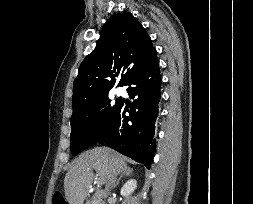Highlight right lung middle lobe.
<instances>
[{"instance_id": "obj_1", "label": "right lung middle lobe", "mask_w": 253, "mask_h": 204, "mask_svg": "<svg viewBox=\"0 0 253 204\" xmlns=\"http://www.w3.org/2000/svg\"><path fill=\"white\" fill-rule=\"evenodd\" d=\"M120 103L110 105L108 94L73 109L71 117V152L76 155L98 142Z\"/></svg>"}]
</instances>
